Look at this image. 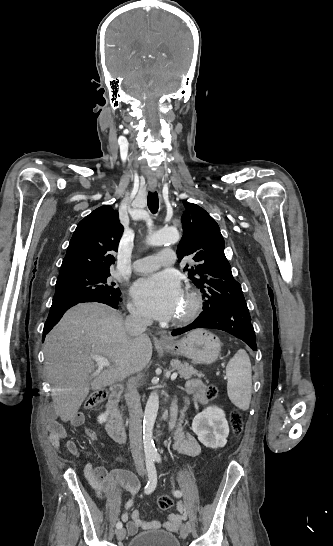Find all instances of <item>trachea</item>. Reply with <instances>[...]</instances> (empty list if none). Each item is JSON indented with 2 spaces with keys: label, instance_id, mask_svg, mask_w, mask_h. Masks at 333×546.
I'll list each match as a JSON object with an SVG mask.
<instances>
[{
  "label": "trachea",
  "instance_id": "obj_1",
  "mask_svg": "<svg viewBox=\"0 0 333 546\" xmlns=\"http://www.w3.org/2000/svg\"><path fill=\"white\" fill-rule=\"evenodd\" d=\"M147 204L151 213L155 214L159 208L158 194L157 192H149L147 196Z\"/></svg>",
  "mask_w": 333,
  "mask_h": 546
}]
</instances>
